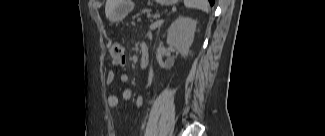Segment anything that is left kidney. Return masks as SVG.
Segmentation results:
<instances>
[{"label": "left kidney", "mask_w": 325, "mask_h": 136, "mask_svg": "<svg viewBox=\"0 0 325 136\" xmlns=\"http://www.w3.org/2000/svg\"><path fill=\"white\" fill-rule=\"evenodd\" d=\"M197 22L190 17L180 16L168 28L167 44L185 57L194 40Z\"/></svg>", "instance_id": "5707ae66"}]
</instances>
